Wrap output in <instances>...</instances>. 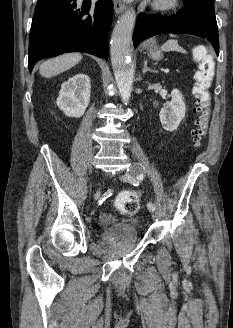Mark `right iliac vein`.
<instances>
[{"label":"right iliac vein","mask_w":233,"mask_h":328,"mask_svg":"<svg viewBox=\"0 0 233 328\" xmlns=\"http://www.w3.org/2000/svg\"><path fill=\"white\" fill-rule=\"evenodd\" d=\"M100 194H101V192H100V191H97V192H96V197H99Z\"/></svg>","instance_id":"63e3f726"}]
</instances>
